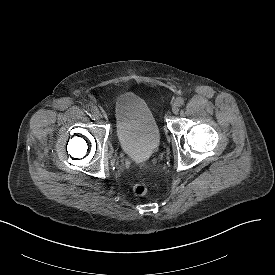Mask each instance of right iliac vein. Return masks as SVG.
Listing matches in <instances>:
<instances>
[{
    "instance_id": "obj_1",
    "label": "right iliac vein",
    "mask_w": 275,
    "mask_h": 275,
    "mask_svg": "<svg viewBox=\"0 0 275 275\" xmlns=\"http://www.w3.org/2000/svg\"><path fill=\"white\" fill-rule=\"evenodd\" d=\"M92 112H93V114H94V116H95L96 118H98V117L100 116V111H99V109H98L97 107L94 106Z\"/></svg>"
}]
</instances>
